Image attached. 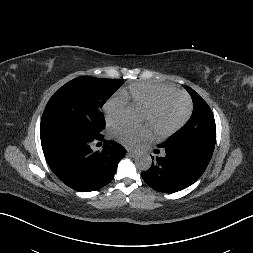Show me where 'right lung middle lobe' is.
<instances>
[{
    "instance_id": "1",
    "label": "right lung middle lobe",
    "mask_w": 253,
    "mask_h": 253,
    "mask_svg": "<svg viewBox=\"0 0 253 253\" xmlns=\"http://www.w3.org/2000/svg\"><path fill=\"white\" fill-rule=\"evenodd\" d=\"M123 82L90 76L69 81L48 101L41 119V133L65 131L90 138L102 136L105 118L101 108Z\"/></svg>"
}]
</instances>
